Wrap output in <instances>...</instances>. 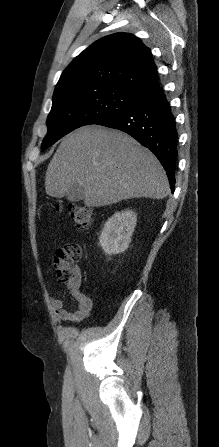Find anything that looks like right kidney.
Wrapping results in <instances>:
<instances>
[{
    "label": "right kidney",
    "mask_w": 219,
    "mask_h": 447,
    "mask_svg": "<svg viewBox=\"0 0 219 447\" xmlns=\"http://www.w3.org/2000/svg\"><path fill=\"white\" fill-rule=\"evenodd\" d=\"M137 222V214L132 210L116 212L104 225L99 243L108 255L124 252L130 242Z\"/></svg>",
    "instance_id": "right-kidney-1"
}]
</instances>
